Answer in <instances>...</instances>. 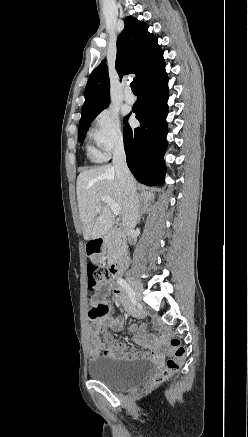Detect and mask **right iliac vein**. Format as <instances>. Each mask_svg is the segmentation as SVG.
I'll use <instances>...</instances> for the list:
<instances>
[{
    "label": "right iliac vein",
    "instance_id": "1",
    "mask_svg": "<svg viewBox=\"0 0 248 437\" xmlns=\"http://www.w3.org/2000/svg\"><path fill=\"white\" fill-rule=\"evenodd\" d=\"M128 281H129L130 285L132 286V288H133V290H134V292L136 294V297L138 299H141L142 292H143V286L141 285V283L136 281L133 278H128Z\"/></svg>",
    "mask_w": 248,
    "mask_h": 437
}]
</instances>
